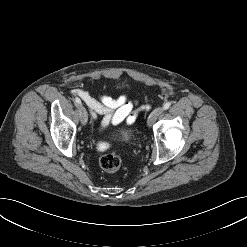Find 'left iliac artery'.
I'll return each mask as SVG.
<instances>
[{"label": "left iliac artery", "instance_id": "left-iliac-artery-1", "mask_svg": "<svg viewBox=\"0 0 247 247\" xmlns=\"http://www.w3.org/2000/svg\"><path fill=\"white\" fill-rule=\"evenodd\" d=\"M171 106V102H166L163 106L164 110H167Z\"/></svg>", "mask_w": 247, "mask_h": 247}]
</instances>
